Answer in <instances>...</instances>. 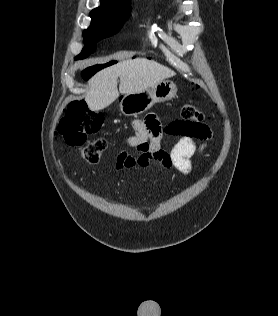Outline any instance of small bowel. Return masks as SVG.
Returning a JSON list of instances; mask_svg holds the SVG:
<instances>
[{"label":"small bowel","instance_id":"small-bowel-1","mask_svg":"<svg viewBox=\"0 0 278 316\" xmlns=\"http://www.w3.org/2000/svg\"><path fill=\"white\" fill-rule=\"evenodd\" d=\"M132 126L134 134L126 139V144L135 148L137 153L121 152L115 160L117 171L136 167L147 170L150 163L155 161L166 169L187 175L193 168L192 158L202 156L206 149L205 143H197L196 140L206 141L211 138V132L205 126L200 135H184L170 150H166L161 145L165 129L156 115L149 114L143 121L134 120ZM166 132H169V128Z\"/></svg>","mask_w":278,"mask_h":316}]
</instances>
